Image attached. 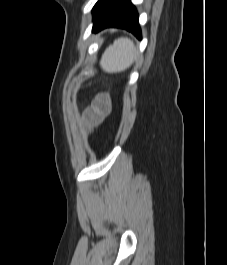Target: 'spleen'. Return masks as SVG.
Masks as SVG:
<instances>
[{"mask_svg":"<svg viewBox=\"0 0 227 265\" xmlns=\"http://www.w3.org/2000/svg\"><path fill=\"white\" fill-rule=\"evenodd\" d=\"M138 57V52L134 43L121 37L107 47L101 58V68L107 73H117L129 68Z\"/></svg>","mask_w":227,"mask_h":265,"instance_id":"obj_1","label":"spleen"}]
</instances>
